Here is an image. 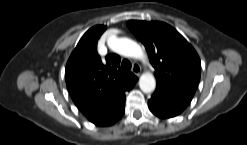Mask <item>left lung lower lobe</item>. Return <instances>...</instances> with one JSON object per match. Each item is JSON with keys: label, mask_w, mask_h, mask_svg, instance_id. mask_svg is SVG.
Here are the masks:
<instances>
[{"label": "left lung lower lobe", "mask_w": 247, "mask_h": 145, "mask_svg": "<svg viewBox=\"0 0 247 145\" xmlns=\"http://www.w3.org/2000/svg\"><path fill=\"white\" fill-rule=\"evenodd\" d=\"M191 100V97L157 84L155 93L148 101V107L159 118H171L179 115Z\"/></svg>", "instance_id": "1"}]
</instances>
